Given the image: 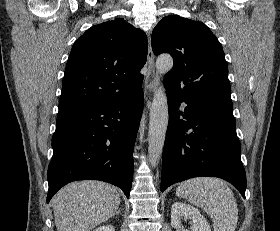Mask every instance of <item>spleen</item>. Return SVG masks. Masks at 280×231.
<instances>
[{
  "label": "spleen",
  "instance_id": "3e777b00",
  "mask_svg": "<svg viewBox=\"0 0 280 231\" xmlns=\"http://www.w3.org/2000/svg\"><path fill=\"white\" fill-rule=\"evenodd\" d=\"M184 197L211 215L214 231H235L238 207L234 193L226 181L218 177H193L182 181L176 189Z\"/></svg>",
  "mask_w": 280,
  "mask_h": 231
}]
</instances>
